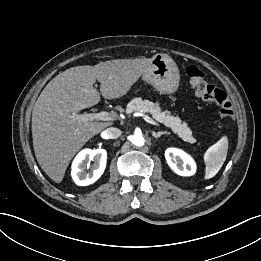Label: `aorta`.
I'll use <instances>...</instances> for the list:
<instances>
[{"label":"aorta","mask_w":261,"mask_h":261,"mask_svg":"<svg viewBox=\"0 0 261 261\" xmlns=\"http://www.w3.org/2000/svg\"><path fill=\"white\" fill-rule=\"evenodd\" d=\"M131 142L136 146H143L145 143V140L141 134H135L132 136Z\"/></svg>","instance_id":"762f6f07"}]
</instances>
